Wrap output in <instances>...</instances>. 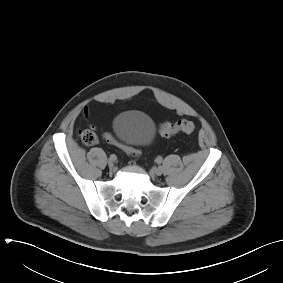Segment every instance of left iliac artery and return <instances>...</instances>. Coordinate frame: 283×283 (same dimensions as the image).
I'll return each instance as SVG.
<instances>
[{
  "mask_svg": "<svg viewBox=\"0 0 283 283\" xmlns=\"http://www.w3.org/2000/svg\"><path fill=\"white\" fill-rule=\"evenodd\" d=\"M161 162H162V157L159 156V157L157 158V163L160 164Z\"/></svg>",
  "mask_w": 283,
  "mask_h": 283,
  "instance_id": "1",
  "label": "left iliac artery"
}]
</instances>
